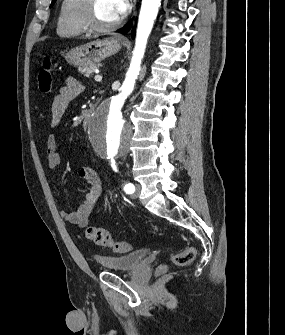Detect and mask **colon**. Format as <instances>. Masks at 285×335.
Masks as SVG:
<instances>
[{
	"instance_id": "1",
	"label": "colon",
	"mask_w": 285,
	"mask_h": 335,
	"mask_svg": "<svg viewBox=\"0 0 285 335\" xmlns=\"http://www.w3.org/2000/svg\"><path fill=\"white\" fill-rule=\"evenodd\" d=\"M38 85L43 94H49L52 91L53 77H52V59L50 56H45L42 60L41 66L38 71ZM86 237L93 243L108 247L113 251L119 253H127L132 249L130 243L125 241L116 240L110 231L101 227H88L85 231ZM196 256L194 247L189 246L183 250L171 255L170 263L177 266H185L190 264ZM167 268L166 264L159 267L161 272Z\"/></svg>"
}]
</instances>
